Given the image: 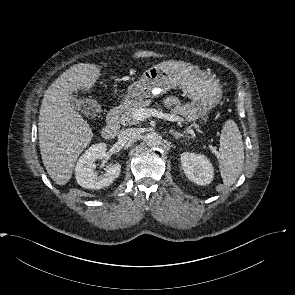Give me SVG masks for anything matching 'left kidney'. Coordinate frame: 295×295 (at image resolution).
Returning a JSON list of instances; mask_svg holds the SVG:
<instances>
[{
    "label": "left kidney",
    "instance_id": "left-kidney-1",
    "mask_svg": "<svg viewBox=\"0 0 295 295\" xmlns=\"http://www.w3.org/2000/svg\"><path fill=\"white\" fill-rule=\"evenodd\" d=\"M181 165L187 178L198 185H208L213 179V166L204 155L183 152Z\"/></svg>",
    "mask_w": 295,
    "mask_h": 295
}]
</instances>
